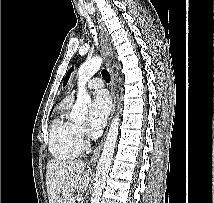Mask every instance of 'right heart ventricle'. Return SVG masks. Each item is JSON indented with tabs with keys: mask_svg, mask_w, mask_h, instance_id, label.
Here are the masks:
<instances>
[{
	"mask_svg": "<svg viewBox=\"0 0 214 203\" xmlns=\"http://www.w3.org/2000/svg\"><path fill=\"white\" fill-rule=\"evenodd\" d=\"M72 102L67 97L62 104V112L50 126L49 150L58 161H67L78 157L84 145L77 131V124L66 117L65 112Z\"/></svg>",
	"mask_w": 214,
	"mask_h": 203,
	"instance_id": "right-heart-ventricle-1",
	"label": "right heart ventricle"
}]
</instances>
